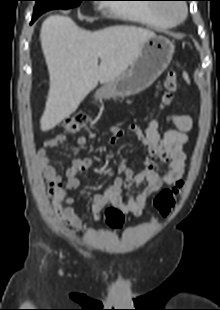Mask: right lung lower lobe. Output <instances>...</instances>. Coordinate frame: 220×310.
I'll list each match as a JSON object with an SVG mask.
<instances>
[{
	"label": "right lung lower lobe",
	"mask_w": 220,
	"mask_h": 310,
	"mask_svg": "<svg viewBox=\"0 0 220 310\" xmlns=\"http://www.w3.org/2000/svg\"><path fill=\"white\" fill-rule=\"evenodd\" d=\"M38 17H39V16H34V15H33V18H32L31 23H33Z\"/></svg>",
	"instance_id": "98d812e1"
}]
</instances>
